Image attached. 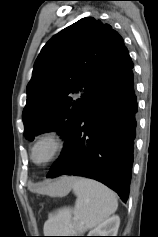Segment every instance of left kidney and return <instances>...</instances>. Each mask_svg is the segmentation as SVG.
Returning <instances> with one entry per match:
<instances>
[{
    "label": "left kidney",
    "mask_w": 158,
    "mask_h": 237,
    "mask_svg": "<svg viewBox=\"0 0 158 237\" xmlns=\"http://www.w3.org/2000/svg\"><path fill=\"white\" fill-rule=\"evenodd\" d=\"M120 218L114 215L91 230L88 236H117Z\"/></svg>",
    "instance_id": "5707ae66"
}]
</instances>
